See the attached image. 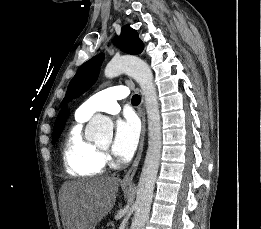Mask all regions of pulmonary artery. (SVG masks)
<instances>
[{
	"label": "pulmonary artery",
	"mask_w": 261,
	"mask_h": 229,
	"mask_svg": "<svg viewBox=\"0 0 261 229\" xmlns=\"http://www.w3.org/2000/svg\"><path fill=\"white\" fill-rule=\"evenodd\" d=\"M127 96L128 90L123 86L110 87L96 92L81 104L80 108L85 114L79 116L89 118L97 112L117 114L120 111L117 100Z\"/></svg>",
	"instance_id": "1"
}]
</instances>
